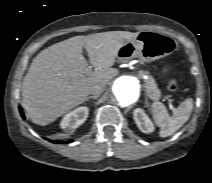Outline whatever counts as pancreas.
I'll list each match as a JSON object with an SVG mask.
<instances>
[{
  "label": "pancreas",
  "mask_w": 212,
  "mask_h": 183,
  "mask_svg": "<svg viewBox=\"0 0 212 183\" xmlns=\"http://www.w3.org/2000/svg\"><path fill=\"white\" fill-rule=\"evenodd\" d=\"M144 83L147 96L154 101L159 100L161 97V92L157 88V84L154 78L152 76H149L146 80H144Z\"/></svg>",
  "instance_id": "cf45deb5"
}]
</instances>
